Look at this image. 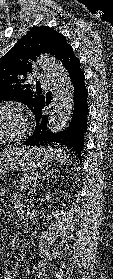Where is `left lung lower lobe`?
I'll list each match as a JSON object with an SVG mask.
<instances>
[{
  "label": "left lung lower lobe",
  "instance_id": "left-lung-lower-lobe-1",
  "mask_svg": "<svg viewBox=\"0 0 113 279\" xmlns=\"http://www.w3.org/2000/svg\"><path fill=\"white\" fill-rule=\"evenodd\" d=\"M63 66L68 71L74 87V110L69 126L59 132L47 130L48 118L42 115L43 107L49 103L51 97L44 96L39 105H35L33 113L35 115V131L26 139L25 144L30 146H47L55 144L71 149L81 160V151L84 147V134L87 131L86 117L88 114L87 97L88 91L84 83V74L80 69V61L71 49L62 61Z\"/></svg>",
  "mask_w": 113,
  "mask_h": 279
}]
</instances>
